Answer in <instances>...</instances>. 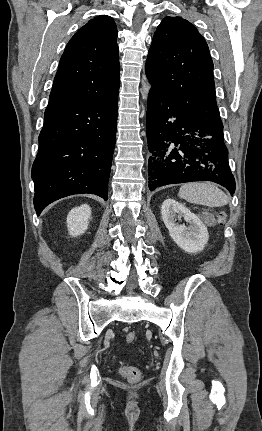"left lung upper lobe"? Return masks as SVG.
Here are the masks:
<instances>
[{
    "label": "left lung upper lobe",
    "mask_w": 262,
    "mask_h": 431,
    "mask_svg": "<svg viewBox=\"0 0 262 431\" xmlns=\"http://www.w3.org/2000/svg\"><path fill=\"white\" fill-rule=\"evenodd\" d=\"M145 70L155 90L186 109L199 123L222 126L209 48L190 22L181 17L162 20Z\"/></svg>",
    "instance_id": "obj_1"
}]
</instances>
